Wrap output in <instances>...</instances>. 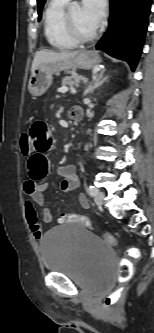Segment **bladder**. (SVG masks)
Segmentation results:
<instances>
[{
    "label": "bladder",
    "mask_w": 154,
    "mask_h": 333,
    "mask_svg": "<svg viewBox=\"0 0 154 333\" xmlns=\"http://www.w3.org/2000/svg\"><path fill=\"white\" fill-rule=\"evenodd\" d=\"M44 269L62 273L90 286L108 287L113 279L116 255L102 238L79 223L48 230L39 241Z\"/></svg>",
    "instance_id": "bladder-1"
}]
</instances>
